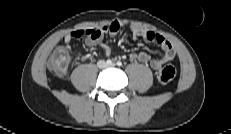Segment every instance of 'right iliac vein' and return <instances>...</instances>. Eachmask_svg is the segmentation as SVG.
I'll return each mask as SVG.
<instances>
[{
	"label": "right iliac vein",
	"mask_w": 231,
	"mask_h": 134,
	"mask_svg": "<svg viewBox=\"0 0 231 134\" xmlns=\"http://www.w3.org/2000/svg\"><path fill=\"white\" fill-rule=\"evenodd\" d=\"M98 67L99 68H105L106 67V63L104 61H99L98 62Z\"/></svg>",
	"instance_id": "obj_1"
}]
</instances>
